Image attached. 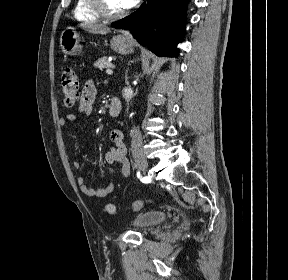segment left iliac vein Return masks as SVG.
<instances>
[{
    "instance_id": "1",
    "label": "left iliac vein",
    "mask_w": 288,
    "mask_h": 280,
    "mask_svg": "<svg viewBox=\"0 0 288 280\" xmlns=\"http://www.w3.org/2000/svg\"><path fill=\"white\" fill-rule=\"evenodd\" d=\"M138 165L141 170L145 171L147 169V161L146 159H139Z\"/></svg>"
}]
</instances>
